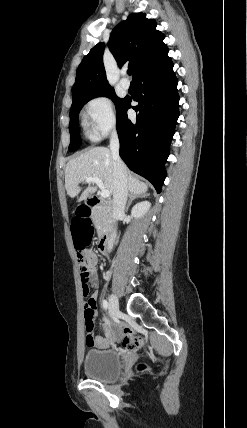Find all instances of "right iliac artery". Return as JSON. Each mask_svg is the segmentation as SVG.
Returning a JSON list of instances; mask_svg holds the SVG:
<instances>
[{
	"label": "right iliac artery",
	"instance_id": "obj_1",
	"mask_svg": "<svg viewBox=\"0 0 247 428\" xmlns=\"http://www.w3.org/2000/svg\"><path fill=\"white\" fill-rule=\"evenodd\" d=\"M103 308H104L105 310H107V309H108V302H107L106 300H103Z\"/></svg>",
	"mask_w": 247,
	"mask_h": 428
}]
</instances>
